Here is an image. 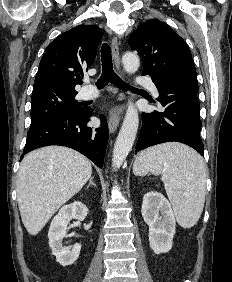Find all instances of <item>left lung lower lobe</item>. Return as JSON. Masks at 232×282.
Instances as JSON below:
<instances>
[{
    "label": "left lung lower lobe",
    "mask_w": 232,
    "mask_h": 282,
    "mask_svg": "<svg viewBox=\"0 0 232 282\" xmlns=\"http://www.w3.org/2000/svg\"><path fill=\"white\" fill-rule=\"evenodd\" d=\"M163 112L142 114V128L136 152L165 142H181L204 156L200 138L198 85L174 81H154Z\"/></svg>",
    "instance_id": "left-lung-lower-lobe-1"
}]
</instances>
